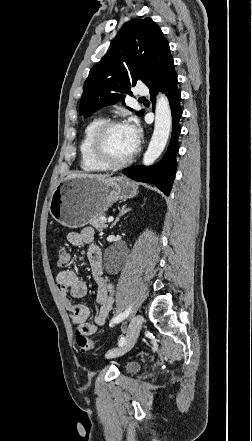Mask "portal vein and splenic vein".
Here are the masks:
<instances>
[{
  "mask_svg": "<svg viewBox=\"0 0 252 441\" xmlns=\"http://www.w3.org/2000/svg\"><path fill=\"white\" fill-rule=\"evenodd\" d=\"M102 219H103V218H102ZM113 220H114L113 217H109V218L107 219L108 222H112Z\"/></svg>",
  "mask_w": 252,
  "mask_h": 441,
  "instance_id": "portal-vein-and-splenic-vein-1",
  "label": "portal vein and splenic vein"
}]
</instances>
